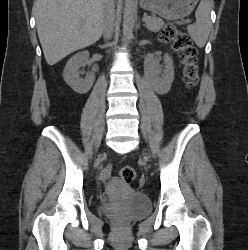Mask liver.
I'll return each mask as SVG.
<instances>
[{
  "label": "liver",
  "mask_w": 248,
  "mask_h": 250,
  "mask_svg": "<svg viewBox=\"0 0 248 250\" xmlns=\"http://www.w3.org/2000/svg\"><path fill=\"white\" fill-rule=\"evenodd\" d=\"M106 0H36L37 33L48 65L98 41Z\"/></svg>",
  "instance_id": "1"
}]
</instances>
